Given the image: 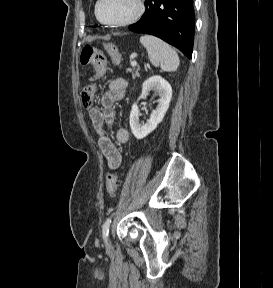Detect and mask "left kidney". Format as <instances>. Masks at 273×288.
Returning <instances> with one entry per match:
<instances>
[{
    "label": "left kidney",
    "mask_w": 273,
    "mask_h": 288,
    "mask_svg": "<svg viewBox=\"0 0 273 288\" xmlns=\"http://www.w3.org/2000/svg\"><path fill=\"white\" fill-rule=\"evenodd\" d=\"M153 89L159 94V99L157 100L158 105L152 112L150 119L145 124H140L139 122V108L137 102L132 105L130 113V127L133 135L137 139H143L154 131L157 125L162 122L165 113L169 108L172 97V88L168 81L159 75L152 76L144 81L142 85V92L138 100Z\"/></svg>",
    "instance_id": "5707ae66"
}]
</instances>
